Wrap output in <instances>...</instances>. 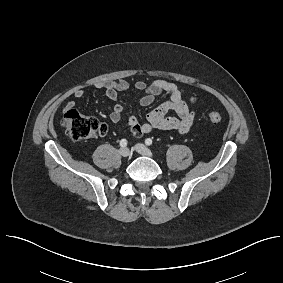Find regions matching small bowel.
Returning a JSON list of instances; mask_svg holds the SVG:
<instances>
[{
	"instance_id": "c3829d8e",
	"label": "small bowel",
	"mask_w": 283,
	"mask_h": 283,
	"mask_svg": "<svg viewBox=\"0 0 283 283\" xmlns=\"http://www.w3.org/2000/svg\"><path fill=\"white\" fill-rule=\"evenodd\" d=\"M102 89L106 96L111 100H116L120 92L130 88L127 80L120 79L117 81H108L96 85ZM134 90L141 94L140 104L142 106H150L161 95L165 94L168 99L155 108H153L146 116V121L140 123L136 116L131 115L127 119L130 132L135 137H140L151 132L154 129L173 130L179 134L187 133L194 122L195 113L190 109L189 103L184 99V91L175 83L164 79H157L151 83L138 81L134 84ZM76 98H82L84 91L77 89L74 92ZM191 103L194 100L190 101ZM74 107V102L68 101L65 104V109L70 110ZM174 112L175 115H170ZM123 114V107L120 104H115L109 115L112 123L120 122Z\"/></svg>"
}]
</instances>
